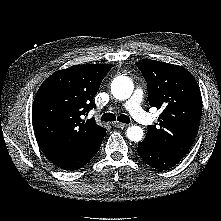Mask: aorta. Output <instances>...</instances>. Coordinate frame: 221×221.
Returning a JSON list of instances; mask_svg holds the SVG:
<instances>
[{"mask_svg":"<svg viewBox=\"0 0 221 221\" xmlns=\"http://www.w3.org/2000/svg\"><path fill=\"white\" fill-rule=\"evenodd\" d=\"M134 89L132 80L129 77L121 76L113 81L111 85V91L113 96L119 100L128 99ZM129 140L138 142L143 138V130L139 126H130L126 131Z\"/></svg>","mask_w":221,"mask_h":221,"instance_id":"762f6f07","label":"aorta"}]
</instances>
